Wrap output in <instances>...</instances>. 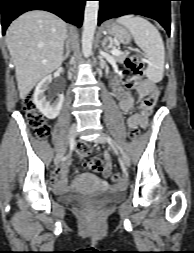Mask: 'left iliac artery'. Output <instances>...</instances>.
I'll return each instance as SVG.
<instances>
[{
	"label": "left iliac artery",
	"mask_w": 194,
	"mask_h": 253,
	"mask_svg": "<svg viewBox=\"0 0 194 253\" xmlns=\"http://www.w3.org/2000/svg\"><path fill=\"white\" fill-rule=\"evenodd\" d=\"M107 139H108L109 142H112V143L115 144V142H114L110 137H107ZM118 148L120 149L121 152H123L122 149H121L120 147H118Z\"/></svg>",
	"instance_id": "1"
}]
</instances>
